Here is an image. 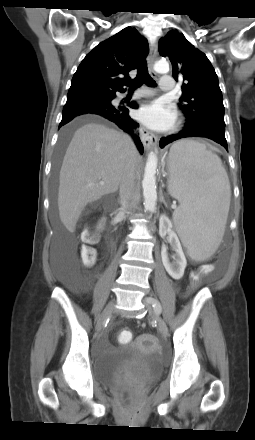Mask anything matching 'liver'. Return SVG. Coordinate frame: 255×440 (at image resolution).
I'll return each instance as SVG.
<instances>
[{
    "label": "liver",
    "instance_id": "1",
    "mask_svg": "<svg viewBox=\"0 0 255 440\" xmlns=\"http://www.w3.org/2000/svg\"><path fill=\"white\" fill-rule=\"evenodd\" d=\"M130 149L126 134L100 123H87L75 131L61 166L57 201L60 220L68 231L75 230L88 203L118 190ZM139 162L136 152L135 171Z\"/></svg>",
    "mask_w": 255,
    "mask_h": 440
}]
</instances>
